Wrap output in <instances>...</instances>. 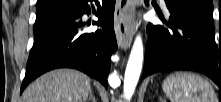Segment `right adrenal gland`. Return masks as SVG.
Returning <instances> with one entry per match:
<instances>
[{"mask_svg":"<svg viewBox=\"0 0 221 102\" xmlns=\"http://www.w3.org/2000/svg\"><path fill=\"white\" fill-rule=\"evenodd\" d=\"M96 102V100H95V97H94V95H93V91L92 90H90V93H89V98H87L86 99V102Z\"/></svg>","mask_w":221,"mask_h":102,"instance_id":"1","label":"right adrenal gland"}]
</instances>
